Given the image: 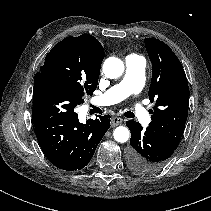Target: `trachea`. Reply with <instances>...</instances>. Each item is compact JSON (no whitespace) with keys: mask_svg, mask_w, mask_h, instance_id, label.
Listing matches in <instances>:
<instances>
[{"mask_svg":"<svg viewBox=\"0 0 211 211\" xmlns=\"http://www.w3.org/2000/svg\"><path fill=\"white\" fill-rule=\"evenodd\" d=\"M124 115H125V117H127V118H134V114H133V112H131V111L125 112Z\"/></svg>","mask_w":211,"mask_h":211,"instance_id":"3493384b","label":"trachea"}]
</instances>
